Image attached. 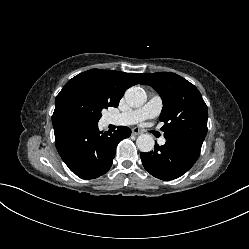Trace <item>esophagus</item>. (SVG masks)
Returning <instances> with one entry per match:
<instances>
[{
	"instance_id": "34e87169",
	"label": "esophagus",
	"mask_w": 249,
	"mask_h": 249,
	"mask_svg": "<svg viewBox=\"0 0 249 249\" xmlns=\"http://www.w3.org/2000/svg\"><path fill=\"white\" fill-rule=\"evenodd\" d=\"M142 132H141V130L139 129V128H137V127H134L133 129H132V134L133 135H139V134H141Z\"/></svg>"
}]
</instances>
